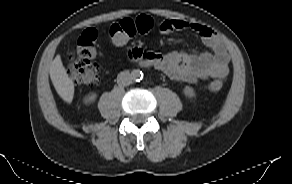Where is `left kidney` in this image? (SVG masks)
Returning <instances> with one entry per match:
<instances>
[{"instance_id": "5707ae66", "label": "left kidney", "mask_w": 292, "mask_h": 184, "mask_svg": "<svg viewBox=\"0 0 292 184\" xmlns=\"http://www.w3.org/2000/svg\"><path fill=\"white\" fill-rule=\"evenodd\" d=\"M184 94L188 98H193L195 97V91L192 87L186 86L183 90Z\"/></svg>"}]
</instances>
